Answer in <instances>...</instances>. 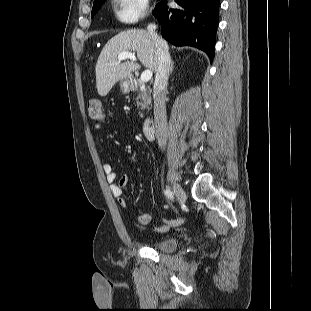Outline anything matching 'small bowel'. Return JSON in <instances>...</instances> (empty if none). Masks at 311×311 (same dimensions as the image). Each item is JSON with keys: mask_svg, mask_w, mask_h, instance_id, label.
<instances>
[{"mask_svg": "<svg viewBox=\"0 0 311 311\" xmlns=\"http://www.w3.org/2000/svg\"><path fill=\"white\" fill-rule=\"evenodd\" d=\"M100 128L99 125H95L94 129L98 130ZM103 172L106 176L107 182L110 184V190L112 194L117 198L119 205L122 208H127V201L123 196V189L129 182V177L127 175H123L119 180L116 171L111 163H104ZM152 220V217L148 213L140 214L137 216V222L140 225H148ZM184 220L181 218L178 219H162V226L155 229L157 233H165L170 230L172 227L179 226L183 224Z\"/></svg>", "mask_w": 311, "mask_h": 311, "instance_id": "c3829d8e", "label": "small bowel"}]
</instances>
